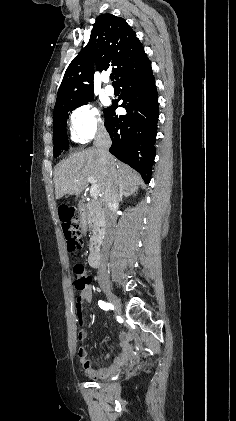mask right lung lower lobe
<instances>
[{
  "instance_id": "obj_1",
  "label": "right lung lower lobe",
  "mask_w": 236,
  "mask_h": 421,
  "mask_svg": "<svg viewBox=\"0 0 236 421\" xmlns=\"http://www.w3.org/2000/svg\"><path fill=\"white\" fill-rule=\"evenodd\" d=\"M116 79L122 87L119 99L123 102L119 106L127 114L115 115L117 101L104 111L105 126L112 140L109 151L149 183L158 121L157 91L150 60L143 56L123 69Z\"/></svg>"
}]
</instances>
